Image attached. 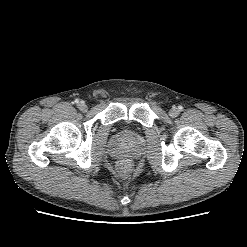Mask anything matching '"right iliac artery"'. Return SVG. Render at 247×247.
Returning a JSON list of instances; mask_svg holds the SVG:
<instances>
[{
	"label": "right iliac artery",
	"instance_id": "82829eb1",
	"mask_svg": "<svg viewBox=\"0 0 247 247\" xmlns=\"http://www.w3.org/2000/svg\"><path fill=\"white\" fill-rule=\"evenodd\" d=\"M75 103H79V100H78V99H76V100H75Z\"/></svg>",
	"mask_w": 247,
	"mask_h": 247
}]
</instances>
